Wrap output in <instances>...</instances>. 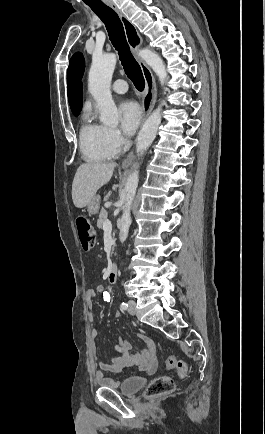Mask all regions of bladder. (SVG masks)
I'll use <instances>...</instances> for the list:
<instances>
[{
  "instance_id": "bladder-1",
  "label": "bladder",
  "mask_w": 265,
  "mask_h": 434,
  "mask_svg": "<svg viewBox=\"0 0 265 434\" xmlns=\"http://www.w3.org/2000/svg\"><path fill=\"white\" fill-rule=\"evenodd\" d=\"M144 380L139 377L125 379L119 387V393L125 397H134L144 386Z\"/></svg>"
}]
</instances>
